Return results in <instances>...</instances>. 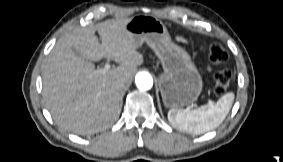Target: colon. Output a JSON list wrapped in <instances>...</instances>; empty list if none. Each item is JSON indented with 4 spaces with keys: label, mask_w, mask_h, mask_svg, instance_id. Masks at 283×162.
I'll list each match as a JSON object with an SVG mask.
<instances>
[{
    "label": "colon",
    "mask_w": 283,
    "mask_h": 162,
    "mask_svg": "<svg viewBox=\"0 0 283 162\" xmlns=\"http://www.w3.org/2000/svg\"><path fill=\"white\" fill-rule=\"evenodd\" d=\"M209 58L215 65L226 63L229 58L227 51L218 43H214L210 47ZM232 80V72L228 69H222L214 75V93L223 95L230 87Z\"/></svg>",
    "instance_id": "obj_1"
}]
</instances>
